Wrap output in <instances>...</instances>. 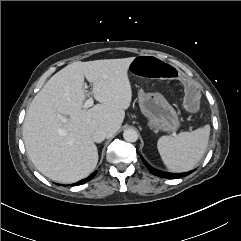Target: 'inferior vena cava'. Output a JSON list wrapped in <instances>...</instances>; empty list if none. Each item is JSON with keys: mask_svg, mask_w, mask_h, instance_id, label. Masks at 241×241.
I'll list each match as a JSON object with an SVG mask.
<instances>
[{"mask_svg": "<svg viewBox=\"0 0 241 241\" xmlns=\"http://www.w3.org/2000/svg\"><path fill=\"white\" fill-rule=\"evenodd\" d=\"M105 138H106V132L101 128L96 129L92 134V139L96 143H101Z\"/></svg>", "mask_w": 241, "mask_h": 241, "instance_id": "1", "label": "inferior vena cava"}]
</instances>
